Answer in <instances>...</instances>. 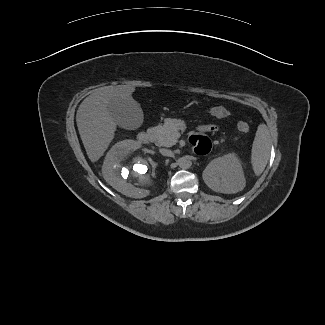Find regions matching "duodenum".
Here are the masks:
<instances>
[{
	"instance_id": "410a0bca",
	"label": "duodenum",
	"mask_w": 325,
	"mask_h": 325,
	"mask_svg": "<svg viewBox=\"0 0 325 325\" xmlns=\"http://www.w3.org/2000/svg\"><path fill=\"white\" fill-rule=\"evenodd\" d=\"M154 136L155 132L153 130L144 131L138 135V141L141 144H149L153 140Z\"/></svg>"
}]
</instances>
